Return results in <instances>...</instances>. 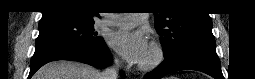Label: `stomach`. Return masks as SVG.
<instances>
[{"label":"stomach","instance_id":"1","mask_svg":"<svg viewBox=\"0 0 255 79\" xmlns=\"http://www.w3.org/2000/svg\"><path fill=\"white\" fill-rule=\"evenodd\" d=\"M167 79H175V77H172V76H171V77H168Z\"/></svg>","mask_w":255,"mask_h":79}]
</instances>
